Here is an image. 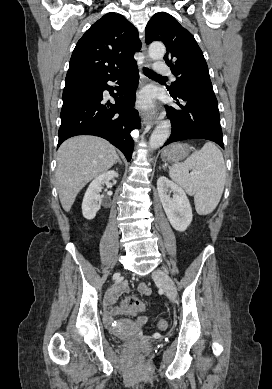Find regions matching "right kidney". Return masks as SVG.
Wrapping results in <instances>:
<instances>
[{
	"label": "right kidney",
	"mask_w": 272,
	"mask_h": 389,
	"mask_svg": "<svg viewBox=\"0 0 272 389\" xmlns=\"http://www.w3.org/2000/svg\"><path fill=\"white\" fill-rule=\"evenodd\" d=\"M118 177V173L115 171L105 172L96 177L89 185L82 202V213L84 218L91 220L95 218L96 213L101 207L102 197L100 191L102 185L108 183L110 180Z\"/></svg>",
	"instance_id": "ca27d5eb"
}]
</instances>
